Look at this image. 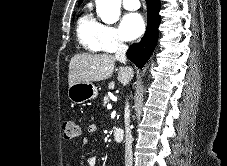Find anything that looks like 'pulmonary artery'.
Listing matches in <instances>:
<instances>
[{"label": "pulmonary artery", "mask_w": 227, "mask_h": 166, "mask_svg": "<svg viewBox=\"0 0 227 166\" xmlns=\"http://www.w3.org/2000/svg\"><path fill=\"white\" fill-rule=\"evenodd\" d=\"M123 7L127 10H137L140 8L139 0H123Z\"/></svg>", "instance_id": "obj_1"}]
</instances>
